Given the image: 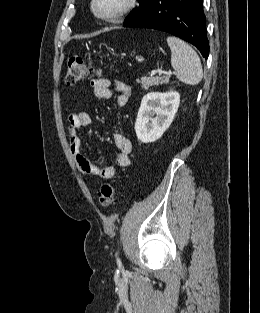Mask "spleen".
<instances>
[{"instance_id":"obj_1","label":"spleen","mask_w":260,"mask_h":313,"mask_svg":"<svg viewBox=\"0 0 260 313\" xmlns=\"http://www.w3.org/2000/svg\"><path fill=\"white\" fill-rule=\"evenodd\" d=\"M171 50V65L176 77L187 85H197L203 77V70L199 56L185 41L174 37H167Z\"/></svg>"}]
</instances>
